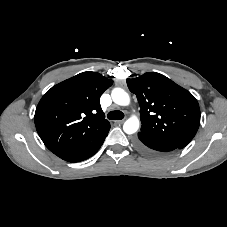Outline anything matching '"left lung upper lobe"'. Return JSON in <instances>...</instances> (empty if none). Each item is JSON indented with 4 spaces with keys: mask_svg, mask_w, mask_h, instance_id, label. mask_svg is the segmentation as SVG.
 <instances>
[{
    "mask_svg": "<svg viewBox=\"0 0 227 227\" xmlns=\"http://www.w3.org/2000/svg\"><path fill=\"white\" fill-rule=\"evenodd\" d=\"M126 81L141 108L142 126L138 134L184 148L200 124V108L195 97L155 72Z\"/></svg>",
    "mask_w": 227,
    "mask_h": 227,
    "instance_id": "left-lung-upper-lobe-1",
    "label": "left lung upper lobe"
}]
</instances>
